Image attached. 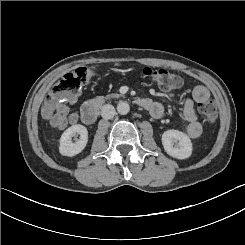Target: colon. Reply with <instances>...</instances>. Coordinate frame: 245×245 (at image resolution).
Listing matches in <instances>:
<instances>
[{
	"mask_svg": "<svg viewBox=\"0 0 245 245\" xmlns=\"http://www.w3.org/2000/svg\"><path fill=\"white\" fill-rule=\"evenodd\" d=\"M139 72L163 90H171L181 84V78L178 75L163 68L153 69L144 67ZM92 76H94L93 70L86 67H79L56 80L44 100L42 106L43 117L47 119L51 118L59 104L74 98L89 82ZM199 111L206 121L210 123L216 121L217 109L213 101L206 100L201 102L199 104Z\"/></svg>",
	"mask_w": 245,
	"mask_h": 245,
	"instance_id": "colon-1",
	"label": "colon"
}]
</instances>
